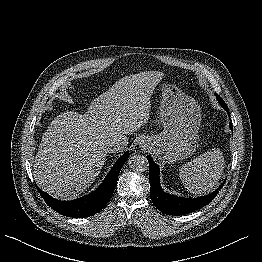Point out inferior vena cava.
<instances>
[{"label": "inferior vena cava", "mask_w": 262, "mask_h": 262, "mask_svg": "<svg viewBox=\"0 0 262 262\" xmlns=\"http://www.w3.org/2000/svg\"><path fill=\"white\" fill-rule=\"evenodd\" d=\"M127 140L125 139H116L108 144V152L116 153L124 150L127 146Z\"/></svg>", "instance_id": "inferior-vena-cava-1"}]
</instances>
